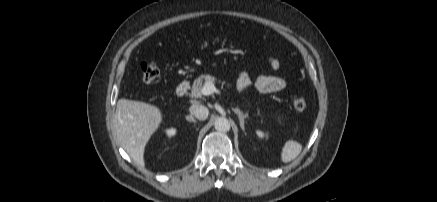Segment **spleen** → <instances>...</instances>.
Here are the masks:
<instances>
[{"label":"spleen","mask_w":437,"mask_h":202,"mask_svg":"<svg viewBox=\"0 0 437 202\" xmlns=\"http://www.w3.org/2000/svg\"><path fill=\"white\" fill-rule=\"evenodd\" d=\"M302 145L294 140H288L281 152V161L284 163H288L294 160L301 152Z\"/></svg>","instance_id":"1"}]
</instances>
